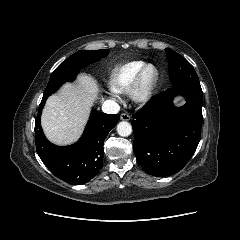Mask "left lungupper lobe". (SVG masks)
<instances>
[{"mask_svg":"<svg viewBox=\"0 0 240 240\" xmlns=\"http://www.w3.org/2000/svg\"><path fill=\"white\" fill-rule=\"evenodd\" d=\"M166 53L169 59V75L172 85L200 83L193 66L184 57L171 49H166Z\"/></svg>","mask_w":240,"mask_h":240,"instance_id":"obj_1","label":"left lung upper lobe"}]
</instances>
